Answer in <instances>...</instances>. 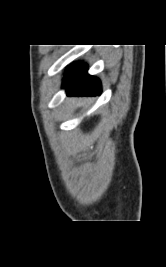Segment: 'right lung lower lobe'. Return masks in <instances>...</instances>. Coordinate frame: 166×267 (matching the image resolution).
<instances>
[{
  "label": "right lung lower lobe",
  "mask_w": 166,
  "mask_h": 267,
  "mask_svg": "<svg viewBox=\"0 0 166 267\" xmlns=\"http://www.w3.org/2000/svg\"><path fill=\"white\" fill-rule=\"evenodd\" d=\"M63 87L68 96H96L102 92L101 82L87 74V65L82 62L66 69Z\"/></svg>",
  "instance_id": "1"
}]
</instances>
